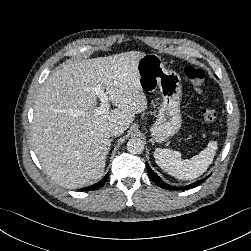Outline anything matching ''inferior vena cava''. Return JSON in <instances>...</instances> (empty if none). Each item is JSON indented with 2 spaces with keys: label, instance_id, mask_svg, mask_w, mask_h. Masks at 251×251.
I'll return each mask as SVG.
<instances>
[{
  "label": "inferior vena cava",
  "instance_id": "1",
  "mask_svg": "<svg viewBox=\"0 0 251 251\" xmlns=\"http://www.w3.org/2000/svg\"><path fill=\"white\" fill-rule=\"evenodd\" d=\"M124 132L123 128L120 126H112L108 129L110 136H120Z\"/></svg>",
  "mask_w": 251,
  "mask_h": 251
}]
</instances>
